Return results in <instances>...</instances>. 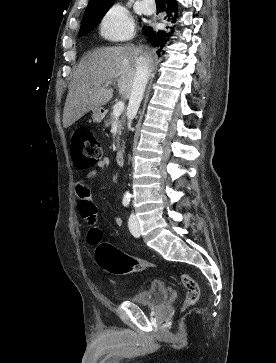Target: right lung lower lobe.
Segmentation results:
<instances>
[{"instance_id": "98d812e1", "label": "right lung lower lobe", "mask_w": 276, "mask_h": 363, "mask_svg": "<svg viewBox=\"0 0 276 363\" xmlns=\"http://www.w3.org/2000/svg\"><path fill=\"white\" fill-rule=\"evenodd\" d=\"M167 18L168 21L173 25L178 18V4L176 0H167ZM170 30L162 31V30H155L152 27H144L143 33L148 37L150 43L158 49L157 53L162 52L163 48L165 47L167 41L170 39L174 32L173 27H167Z\"/></svg>"}]
</instances>
